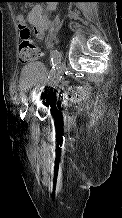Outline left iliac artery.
<instances>
[{"label":"left iliac artery","instance_id":"obj_1","mask_svg":"<svg viewBox=\"0 0 122 218\" xmlns=\"http://www.w3.org/2000/svg\"><path fill=\"white\" fill-rule=\"evenodd\" d=\"M60 61H61L60 52L58 50H56V49L52 50L51 51V64H52V67H51L49 75H48V77L46 79L45 85L50 84V82H51V80H52V78L54 76L55 69L60 64ZM27 109H28V102H25L24 105L21 108V116H24L26 114Z\"/></svg>","mask_w":122,"mask_h":218}]
</instances>
